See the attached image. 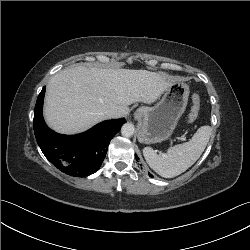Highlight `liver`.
Wrapping results in <instances>:
<instances>
[{"mask_svg":"<svg viewBox=\"0 0 250 250\" xmlns=\"http://www.w3.org/2000/svg\"><path fill=\"white\" fill-rule=\"evenodd\" d=\"M177 78L132 69H102L78 65L56 73L49 81L44 117L53 130L74 134L106 120L108 111L129 114L135 102H155Z\"/></svg>","mask_w":250,"mask_h":250,"instance_id":"6515ba94","label":"liver"}]
</instances>
